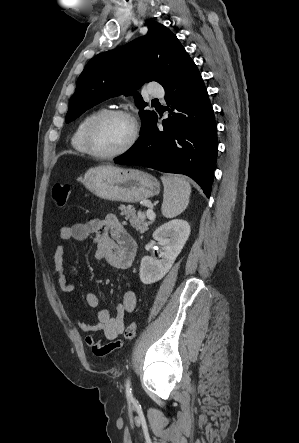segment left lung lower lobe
<instances>
[{
    "instance_id": "obj_1",
    "label": "left lung lower lobe",
    "mask_w": 299,
    "mask_h": 443,
    "mask_svg": "<svg viewBox=\"0 0 299 443\" xmlns=\"http://www.w3.org/2000/svg\"><path fill=\"white\" fill-rule=\"evenodd\" d=\"M170 113L158 129L157 114L136 144L114 159L194 179L209 198L217 160V125L206 87L195 64L164 87Z\"/></svg>"
}]
</instances>
